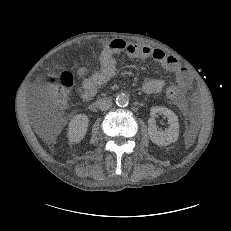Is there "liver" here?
<instances>
[{
    "label": "liver",
    "mask_w": 231,
    "mask_h": 231,
    "mask_svg": "<svg viewBox=\"0 0 231 231\" xmlns=\"http://www.w3.org/2000/svg\"><path fill=\"white\" fill-rule=\"evenodd\" d=\"M56 135H57V133H55L53 136H51V138H48V139L53 140V139L55 138Z\"/></svg>",
    "instance_id": "liver-1"
}]
</instances>
